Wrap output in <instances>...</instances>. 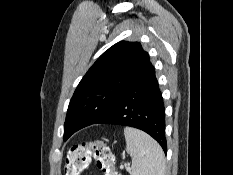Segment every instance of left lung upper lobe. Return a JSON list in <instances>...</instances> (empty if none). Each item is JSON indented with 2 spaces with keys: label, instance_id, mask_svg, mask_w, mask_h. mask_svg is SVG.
<instances>
[{
  "label": "left lung upper lobe",
  "instance_id": "obj_1",
  "mask_svg": "<svg viewBox=\"0 0 233 175\" xmlns=\"http://www.w3.org/2000/svg\"><path fill=\"white\" fill-rule=\"evenodd\" d=\"M151 65L138 42L121 41L105 51L88 70L70 101L64 140L93 124Z\"/></svg>",
  "mask_w": 233,
  "mask_h": 175
}]
</instances>
